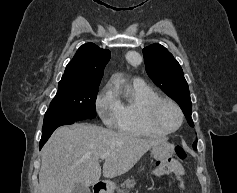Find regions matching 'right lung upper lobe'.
<instances>
[{
    "mask_svg": "<svg viewBox=\"0 0 237 193\" xmlns=\"http://www.w3.org/2000/svg\"><path fill=\"white\" fill-rule=\"evenodd\" d=\"M110 55L109 50L102 49L94 43L82 45L66 66L61 81L99 85Z\"/></svg>",
    "mask_w": 237,
    "mask_h": 193,
    "instance_id": "cb5924a9",
    "label": "right lung upper lobe"
}]
</instances>
